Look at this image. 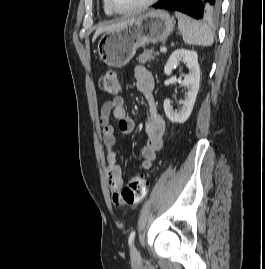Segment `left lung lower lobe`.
<instances>
[{
  "instance_id": "0a47b994",
  "label": "left lung lower lobe",
  "mask_w": 265,
  "mask_h": 269,
  "mask_svg": "<svg viewBox=\"0 0 265 269\" xmlns=\"http://www.w3.org/2000/svg\"><path fill=\"white\" fill-rule=\"evenodd\" d=\"M221 0H163L156 8L176 10L195 19L215 20L220 13Z\"/></svg>"
}]
</instances>
